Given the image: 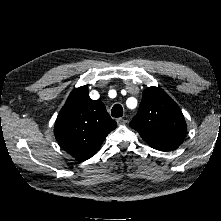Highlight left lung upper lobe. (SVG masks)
<instances>
[{"mask_svg": "<svg viewBox=\"0 0 221 221\" xmlns=\"http://www.w3.org/2000/svg\"><path fill=\"white\" fill-rule=\"evenodd\" d=\"M142 138L182 141L186 122L179 106L160 88L152 86L143 91L138 114L130 122Z\"/></svg>", "mask_w": 221, "mask_h": 221, "instance_id": "1", "label": "left lung upper lobe"}]
</instances>
